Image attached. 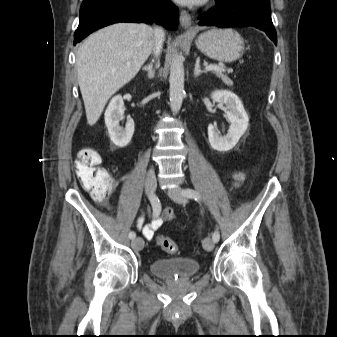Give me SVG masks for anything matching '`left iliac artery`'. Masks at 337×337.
<instances>
[{
	"label": "left iliac artery",
	"instance_id": "obj_1",
	"mask_svg": "<svg viewBox=\"0 0 337 337\" xmlns=\"http://www.w3.org/2000/svg\"><path fill=\"white\" fill-rule=\"evenodd\" d=\"M183 195L188 197V198H191V199H194L196 201H199L200 200V195L198 192H196L194 189H191V188H187V189H184L183 190ZM212 239L214 242H218L219 239H220V233L218 230H215L213 235H212Z\"/></svg>",
	"mask_w": 337,
	"mask_h": 337
}]
</instances>
